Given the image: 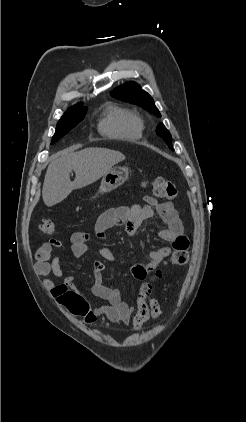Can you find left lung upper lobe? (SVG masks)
<instances>
[{
    "mask_svg": "<svg viewBox=\"0 0 246 422\" xmlns=\"http://www.w3.org/2000/svg\"><path fill=\"white\" fill-rule=\"evenodd\" d=\"M111 96L124 102L136 104L158 117L161 116L151 96L143 91L135 82H128L127 84L115 88L111 92ZM156 133L166 142L171 150H174L171 144V134L163 124L157 126Z\"/></svg>",
    "mask_w": 246,
    "mask_h": 422,
    "instance_id": "5c2ea615",
    "label": "left lung upper lobe"
}]
</instances>
